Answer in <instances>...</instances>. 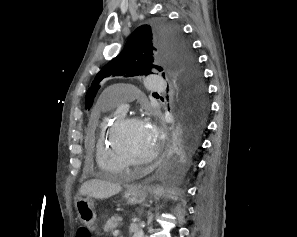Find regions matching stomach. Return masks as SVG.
<instances>
[{"mask_svg": "<svg viewBox=\"0 0 297 237\" xmlns=\"http://www.w3.org/2000/svg\"><path fill=\"white\" fill-rule=\"evenodd\" d=\"M148 190L146 187L132 185L125 192V199L130 204H142L146 201ZM78 218L80 222L86 225L90 231L95 230L96 213L94 210V202L90 197L78 198L75 203Z\"/></svg>", "mask_w": 297, "mask_h": 237, "instance_id": "0dacf381", "label": "stomach"}]
</instances>
